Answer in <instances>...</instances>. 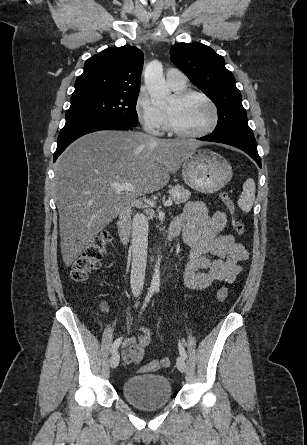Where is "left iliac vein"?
Segmentation results:
<instances>
[{"mask_svg":"<svg viewBox=\"0 0 307 445\" xmlns=\"http://www.w3.org/2000/svg\"><path fill=\"white\" fill-rule=\"evenodd\" d=\"M176 365L180 372H185L186 363H185V360L183 357H181V356L177 357Z\"/></svg>","mask_w":307,"mask_h":445,"instance_id":"left-iliac-vein-1","label":"left iliac vein"}]
</instances>
